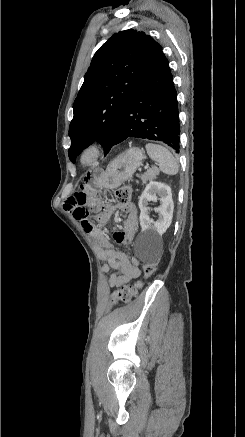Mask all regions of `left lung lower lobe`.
I'll list each match as a JSON object with an SVG mask.
<instances>
[{"label":"left lung lower lobe","instance_id":"1","mask_svg":"<svg viewBox=\"0 0 245 437\" xmlns=\"http://www.w3.org/2000/svg\"><path fill=\"white\" fill-rule=\"evenodd\" d=\"M177 92L161 46L129 96L112 146L129 137L161 141L179 152Z\"/></svg>","mask_w":245,"mask_h":437}]
</instances>
